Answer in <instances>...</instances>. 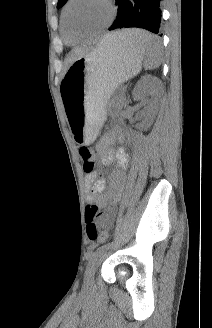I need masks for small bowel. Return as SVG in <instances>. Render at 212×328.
<instances>
[{
    "label": "small bowel",
    "instance_id": "1",
    "mask_svg": "<svg viewBox=\"0 0 212 328\" xmlns=\"http://www.w3.org/2000/svg\"><path fill=\"white\" fill-rule=\"evenodd\" d=\"M115 134L109 135L105 142L100 147L101 161L103 165L116 164L118 170L111 174L110 182L112 185L111 192L104 196L98 197V195L104 190L105 182L102 179H98L94 171L86 173L85 181L89 188L88 200L91 202H96L101 207H105V212L103 213L100 224L104 228H110L116 216V204L118 203L123 184L125 181V169L128 164V154L124 148H119L115 151L110 144L115 138Z\"/></svg>",
    "mask_w": 212,
    "mask_h": 328
}]
</instances>
